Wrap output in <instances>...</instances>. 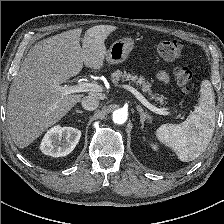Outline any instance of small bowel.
<instances>
[{
    "label": "small bowel",
    "mask_w": 224,
    "mask_h": 224,
    "mask_svg": "<svg viewBox=\"0 0 224 224\" xmlns=\"http://www.w3.org/2000/svg\"><path fill=\"white\" fill-rule=\"evenodd\" d=\"M157 78L164 83H168L170 80L168 73L164 71H161L160 73H158Z\"/></svg>",
    "instance_id": "small-bowel-1"
}]
</instances>
